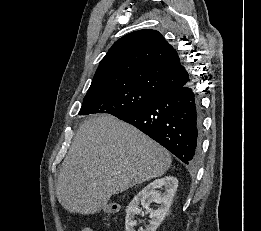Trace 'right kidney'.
Returning <instances> with one entry per match:
<instances>
[{
  "mask_svg": "<svg viewBox=\"0 0 261 231\" xmlns=\"http://www.w3.org/2000/svg\"><path fill=\"white\" fill-rule=\"evenodd\" d=\"M162 187H164L163 194L156 190ZM177 187L178 180L175 177L165 176L154 180L143 188L127 207L125 218L126 231H135L134 227L137 222L134 218L135 215L141 213V209L139 208L140 203L149 212L151 220L145 229L141 228L139 231H156L169 211ZM152 202L159 204L158 209L153 210L149 208Z\"/></svg>",
  "mask_w": 261,
  "mask_h": 231,
  "instance_id": "obj_1",
  "label": "right kidney"
}]
</instances>
